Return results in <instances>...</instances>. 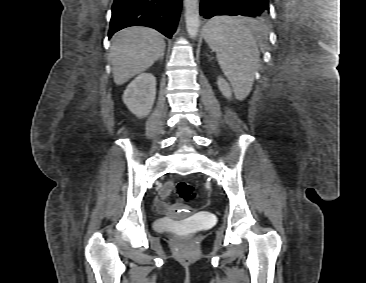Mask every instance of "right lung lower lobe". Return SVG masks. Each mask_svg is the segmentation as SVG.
Segmentation results:
<instances>
[{
  "mask_svg": "<svg viewBox=\"0 0 366 283\" xmlns=\"http://www.w3.org/2000/svg\"><path fill=\"white\" fill-rule=\"evenodd\" d=\"M182 0H114L109 38L130 26H148L171 38L181 10Z\"/></svg>",
  "mask_w": 366,
  "mask_h": 283,
  "instance_id": "right-lung-lower-lobe-1",
  "label": "right lung lower lobe"
}]
</instances>
